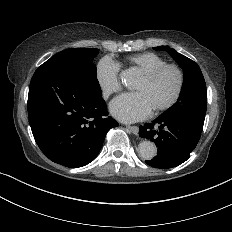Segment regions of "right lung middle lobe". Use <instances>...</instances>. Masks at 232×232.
Segmentation results:
<instances>
[{"mask_svg":"<svg viewBox=\"0 0 232 232\" xmlns=\"http://www.w3.org/2000/svg\"><path fill=\"white\" fill-rule=\"evenodd\" d=\"M98 52L99 49L93 48H71L57 53L51 59L80 63L83 70L95 81L96 85L99 87L96 66L92 62L93 58L97 56Z\"/></svg>","mask_w":232,"mask_h":232,"instance_id":"right-lung-middle-lobe-1","label":"right lung middle lobe"}]
</instances>
